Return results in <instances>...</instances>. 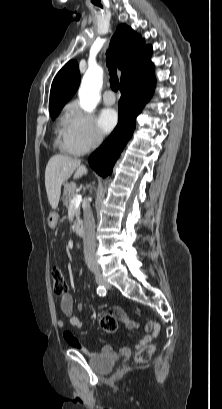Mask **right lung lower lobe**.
<instances>
[{"mask_svg": "<svg viewBox=\"0 0 222 409\" xmlns=\"http://www.w3.org/2000/svg\"><path fill=\"white\" fill-rule=\"evenodd\" d=\"M154 71L120 85L118 125L108 139L89 157L90 166L102 177L108 176L135 129V120L149 101L155 86Z\"/></svg>", "mask_w": 222, "mask_h": 409, "instance_id": "1", "label": "right lung lower lobe"}]
</instances>
